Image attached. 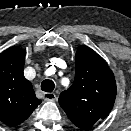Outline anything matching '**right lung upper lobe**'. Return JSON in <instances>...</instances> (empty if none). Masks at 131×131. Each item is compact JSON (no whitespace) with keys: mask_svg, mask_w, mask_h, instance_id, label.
<instances>
[{"mask_svg":"<svg viewBox=\"0 0 131 131\" xmlns=\"http://www.w3.org/2000/svg\"><path fill=\"white\" fill-rule=\"evenodd\" d=\"M25 51L14 46L0 54V121L16 126L41 103L24 75Z\"/></svg>","mask_w":131,"mask_h":131,"instance_id":"obj_1","label":"right lung upper lobe"}]
</instances>
